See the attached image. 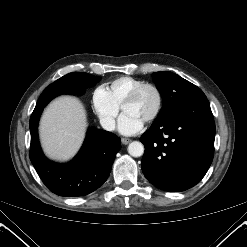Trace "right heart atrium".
Returning a JSON list of instances; mask_svg holds the SVG:
<instances>
[{"instance_id":"d8ad5b80","label":"right heart atrium","mask_w":247,"mask_h":247,"mask_svg":"<svg viewBox=\"0 0 247 247\" xmlns=\"http://www.w3.org/2000/svg\"><path fill=\"white\" fill-rule=\"evenodd\" d=\"M93 107L104 129L112 131L119 114L120 106L114 101L108 89L99 86L93 93Z\"/></svg>"}]
</instances>
